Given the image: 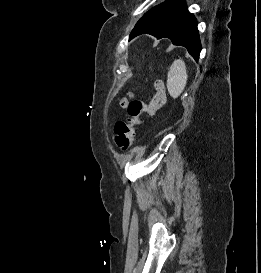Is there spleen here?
<instances>
[{"label":"spleen","mask_w":261,"mask_h":273,"mask_svg":"<svg viewBox=\"0 0 261 273\" xmlns=\"http://www.w3.org/2000/svg\"><path fill=\"white\" fill-rule=\"evenodd\" d=\"M187 70L184 61L179 58L175 60L167 74V89L170 96L178 98L187 84Z\"/></svg>","instance_id":"1"}]
</instances>
